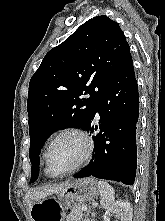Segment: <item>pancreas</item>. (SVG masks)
Returning <instances> with one entry per match:
<instances>
[{"label": "pancreas", "instance_id": "1", "mask_svg": "<svg viewBox=\"0 0 165 221\" xmlns=\"http://www.w3.org/2000/svg\"><path fill=\"white\" fill-rule=\"evenodd\" d=\"M83 211L79 205L73 206L70 214L66 217V221H82Z\"/></svg>", "mask_w": 165, "mask_h": 221}]
</instances>
